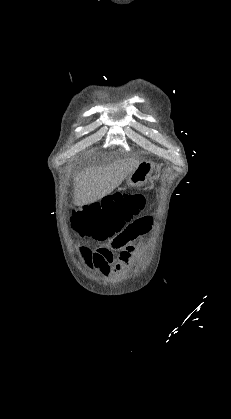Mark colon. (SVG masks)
Here are the masks:
<instances>
[{
    "label": "colon",
    "instance_id": "1",
    "mask_svg": "<svg viewBox=\"0 0 231 419\" xmlns=\"http://www.w3.org/2000/svg\"><path fill=\"white\" fill-rule=\"evenodd\" d=\"M144 206L140 194L114 193L90 204L77 223L89 227L95 238L106 240L120 233Z\"/></svg>",
    "mask_w": 231,
    "mask_h": 419
}]
</instances>
